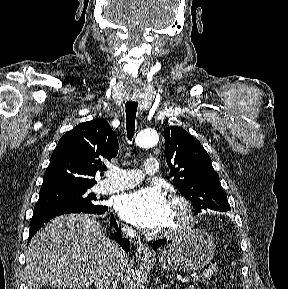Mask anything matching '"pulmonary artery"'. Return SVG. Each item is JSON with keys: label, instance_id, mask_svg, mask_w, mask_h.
Returning <instances> with one entry per match:
<instances>
[{"label": "pulmonary artery", "instance_id": "obj_1", "mask_svg": "<svg viewBox=\"0 0 288 289\" xmlns=\"http://www.w3.org/2000/svg\"><path fill=\"white\" fill-rule=\"evenodd\" d=\"M159 170V161L156 157H148L144 161L143 170L114 169L110 178L98 185V192L109 194L133 188L140 184L145 175H156Z\"/></svg>", "mask_w": 288, "mask_h": 289}]
</instances>
